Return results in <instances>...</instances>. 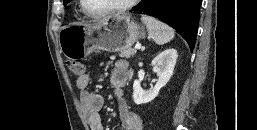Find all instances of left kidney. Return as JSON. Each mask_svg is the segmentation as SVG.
<instances>
[{
	"label": "left kidney",
	"mask_w": 257,
	"mask_h": 130,
	"mask_svg": "<svg viewBox=\"0 0 257 130\" xmlns=\"http://www.w3.org/2000/svg\"><path fill=\"white\" fill-rule=\"evenodd\" d=\"M177 57V51L170 48L164 50L153 59V71L157 74L158 81L154 87L149 90H143L140 82L135 80L133 83V100L135 104L148 103L158 96L160 89L168 83L173 75Z\"/></svg>",
	"instance_id": "1"
}]
</instances>
